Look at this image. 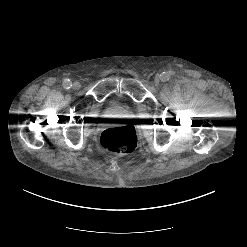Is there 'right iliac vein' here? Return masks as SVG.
I'll use <instances>...</instances> for the list:
<instances>
[{"instance_id": "obj_1", "label": "right iliac vein", "mask_w": 247, "mask_h": 247, "mask_svg": "<svg viewBox=\"0 0 247 247\" xmlns=\"http://www.w3.org/2000/svg\"><path fill=\"white\" fill-rule=\"evenodd\" d=\"M80 87H81V84L79 82L76 81V82L73 83V89L74 90H79Z\"/></svg>"}]
</instances>
